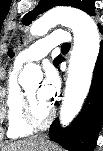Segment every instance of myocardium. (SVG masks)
Returning <instances> with one entry per match:
<instances>
[{
  "label": "myocardium",
  "instance_id": "f54148a6",
  "mask_svg": "<svg viewBox=\"0 0 103 151\" xmlns=\"http://www.w3.org/2000/svg\"><path fill=\"white\" fill-rule=\"evenodd\" d=\"M54 107H50L49 113L44 120H37L33 113V107L26 88L22 90V117L25 124L33 130L47 128L53 120Z\"/></svg>",
  "mask_w": 103,
  "mask_h": 151
}]
</instances>
